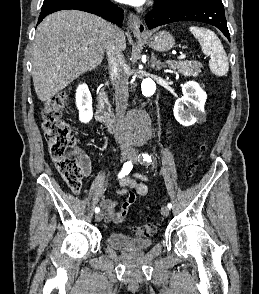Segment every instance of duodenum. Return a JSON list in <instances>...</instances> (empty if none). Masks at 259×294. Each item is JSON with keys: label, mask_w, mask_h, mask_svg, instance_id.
Segmentation results:
<instances>
[{"label": "duodenum", "mask_w": 259, "mask_h": 294, "mask_svg": "<svg viewBox=\"0 0 259 294\" xmlns=\"http://www.w3.org/2000/svg\"><path fill=\"white\" fill-rule=\"evenodd\" d=\"M96 101V119L103 123L109 131H116L119 127V122L117 121L111 109L107 95L103 90H98L96 92Z\"/></svg>", "instance_id": "1"}]
</instances>
